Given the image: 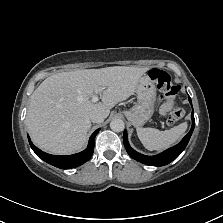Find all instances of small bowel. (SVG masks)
I'll use <instances>...</instances> for the list:
<instances>
[{
	"label": "small bowel",
	"mask_w": 223,
	"mask_h": 223,
	"mask_svg": "<svg viewBox=\"0 0 223 223\" xmlns=\"http://www.w3.org/2000/svg\"><path fill=\"white\" fill-rule=\"evenodd\" d=\"M172 108L171 104L169 102L163 103L160 107L161 113H166Z\"/></svg>",
	"instance_id": "1"
}]
</instances>
